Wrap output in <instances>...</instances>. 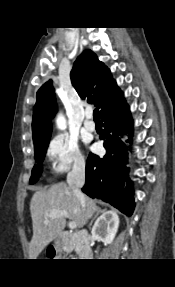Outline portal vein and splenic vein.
<instances>
[{
  "label": "portal vein and splenic vein",
  "instance_id": "portal-vein-and-splenic-vein-1",
  "mask_svg": "<svg viewBox=\"0 0 175 287\" xmlns=\"http://www.w3.org/2000/svg\"><path fill=\"white\" fill-rule=\"evenodd\" d=\"M49 216L51 218H56V217H60V216L68 217V212L65 211V210H58V209H56V210H52L50 212ZM47 222H48V219L45 220V223H47ZM69 228L70 229L77 228L76 222H74V221L69 222Z\"/></svg>",
  "mask_w": 175,
  "mask_h": 287
}]
</instances>
